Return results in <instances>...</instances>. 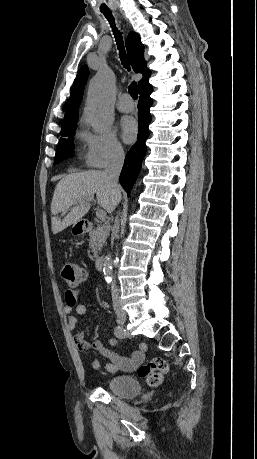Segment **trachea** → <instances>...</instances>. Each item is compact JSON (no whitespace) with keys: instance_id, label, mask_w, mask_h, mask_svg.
Returning a JSON list of instances; mask_svg holds the SVG:
<instances>
[{"instance_id":"trachea-1","label":"trachea","mask_w":257,"mask_h":459,"mask_svg":"<svg viewBox=\"0 0 257 459\" xmlns=\"http://www.w3.org/2000/svg\"><path fill=\"white\" fill-rule=\"evenodd\" d=\"M102 13L108 19L109 23L111 24V27L113 28V32H114V36H115V39H116V42H117V45H118L119 55H120V59H121L122 65L126 69L130 70L128 59H127V55H126V52H125V49H124V45H123L122 35L117 30V28H115L114 18L112 16V13H111V11H102ZM128 92H129V94L131 95V97L133 99H135V100L138 99V89H137V84L135 82H133L132 84L129 85Z\"/></svg>"}]
</instances>
